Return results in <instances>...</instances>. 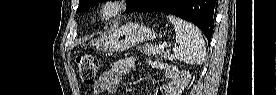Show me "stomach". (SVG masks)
Wrapping results in <instances>:
<instances>
[{"label":"stomach","instance_id":"obj_1","mask_svg":"<svg viewBox=\"0 0 277 95\" xmlns=\"http://www.w3.org/2000/svg\"><path fill=\"white\" fill-rule=\"evenodd\" d=\"M157 36L158 34L149 27L130 22L105 33L92 45L97 50L122 52L142 42L153 40Z\"/></svg>","mask_w":277,"mask_h":95}]
</instances>
